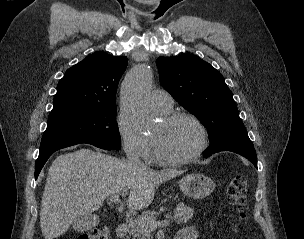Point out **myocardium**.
Masks as SVG:
<instances>
[{"label":"myocardium","mask_w":304,"mask_h":239,"mask_svg":"<svg viewBox=\"0 0 304 239\" xmlns=\"http://www.w3.org/2000/svg\"><path fill=\"white\" fill-rule=\"evenodd\" d=\"M188 119L191 122H193L196 127L199 130L200 133V143L197 147V149L191 153L190 155H187L185 157L181 158H169L161 155L156 147L155 139L152 137V153H153V158L155 161L165 164V165H184L191 163L198 158L201 157V155L204 153V151L207 149L209 145V136H208V130L204 123L194 114L186 111H175V112H170L168 114H164L162 121L165 124H170L178 119Z\"/></svg>","instance_id":"f54148a6"}]
</instances>
